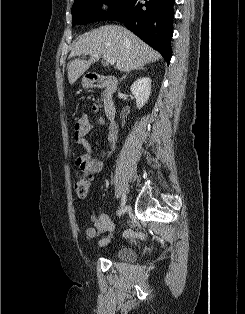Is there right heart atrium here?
<instances>
[{
  "instance_id": "d8ad5b80",
  "label": "right heart atrium",
  "mask_w": 245,
  "mask_h": 314,
  "mask_svg": "<svg viewBox=\"0 0 245 314\" xmlns=\"http://www.w3.org/2000/svg\"><path fill=\"white\" fill-rule=\"evenodd\" d=\"M100 7H101L102 9H105V4H104V3H101V4H100Z\"/></svg>"
}]
</instances>
